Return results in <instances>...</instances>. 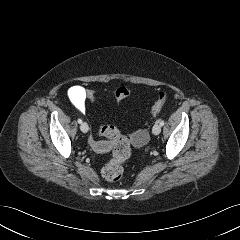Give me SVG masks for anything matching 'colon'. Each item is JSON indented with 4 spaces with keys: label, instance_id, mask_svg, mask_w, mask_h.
Here are the masks:
<instances>
[{
    "label": "colon",
    "instance_id": "colon-1",
    "mask_svg": "<svg viewBox=\"0 0 240 240\" xmlns=\"http://www.w3.org/2000/svg\"><path fill=\"white\" fill-rule=\"evenodd\" d=\"M129 90L120 86L115 90L116 101L122 102L129 96ZM86 98L90 102L95 101V92L92 89H86ZM168 99V94L165 91L158 93L156 100L150 109V115L156 116L161 110L162 106ZM99 133L113 141L112 158L110 161L104 165L102 168V176L105 180L109 182L118 181L123 175V165L129 159L131 154V143H140L142 138L129 140L127 137L123 136L120 131L112 125H103L99 128Z\"/></svg>",
    "mask_w": 240,
    "mask_h": 240
}]
</instances>
